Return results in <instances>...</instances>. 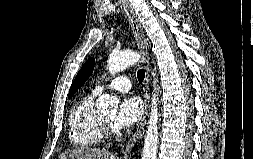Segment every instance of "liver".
Masks as SVG:
<instances>
[{
    "mask_svg": "<svg viewBox=\"0 0 253 159\" xmlns=\"http://www.w3.org/2000/svg\"><path fill=\"white\" fill-rule=\"evenodd\" d=\"M59 159H119L114 154L104 149L96 148H76L69 152H65L59 156Z\"/></svg>",
    "mask_w": 253,
    "mask_h": 159,
    "instance_id": "obj_1",
    "label": "liver"
}]
</instances>
